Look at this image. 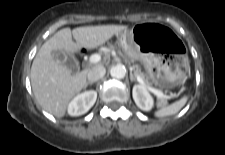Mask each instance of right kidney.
I'll return each instance as SVG.
<instances>
[{"mask_svg":"<svg viewBox=\"0 0 225 155\" xmlns=\"http://www.w3.org/2000/svg\"><path fill=\"white\" fill-rule=\"evenodd\" d=\"M97 92L94 90L85 91L77 95L68 105V114L71 116H80L89 111L95 104Z\"/></svg>","mask_w":225,"mask_h":155,"instance_id":"right-kidney-1","label":"right kidney"}]
</instances>
